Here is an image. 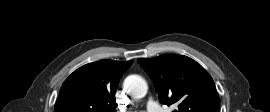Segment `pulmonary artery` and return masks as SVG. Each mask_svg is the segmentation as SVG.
<instances>
[{"mask_svg": "<svg viewBox=\"0 0 270 112\" xmlns=\"http://www.w3.org/2000/svg\"><path fill=\"white\" fill-rule=\"evenodd\" d=\"M147 107L149 112H163L161 107L153 100L148 102Z\"/></svg>", "mask_w": 270, "mask_h": 112, "instance_id": "obj_1", "label": "pulmonary artery"}]
</instances>
